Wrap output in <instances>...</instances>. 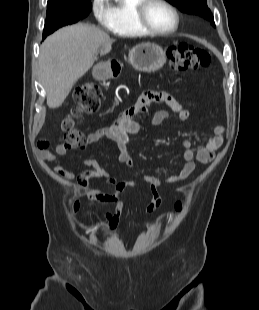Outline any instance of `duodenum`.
<instances>
[{"instance_id": "duodenum-1", "label": "duodenum", "mask_w": 259, "mask_h": 310, "mask_svg": "<svg viewBox=\"0 0 259 310\" xmlns=\"http://www.w3.org/2000/svg\"><path fill=\"white\" fill-rule=\"evenodd\" d=\"M109 70L113 76H118L121 72V67L117 65L114 61H112L109 66Z\"/></svg>"}]
</instances>
